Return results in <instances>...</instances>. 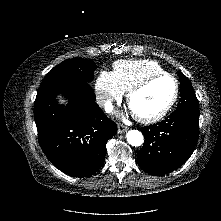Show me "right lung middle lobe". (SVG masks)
I'll return each instance as SVG.
<instances>
[{"mask_svg":"<svg viewBox=\"0 0 221 221\" xmlns=\"http://www.w3.org/2000/svg\"><path fill=\"white\" fill-rule=\"evenodd\" d=\"M96 68V64L90 60L81 58L65 60L46 75L39 89L90 82L94 78Z\"/></svg>","mask_w":221,"mask_h":221,"instance_id":"1","label":"right lung middle lobe"}]
</instances>
